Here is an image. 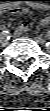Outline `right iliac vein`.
Instances as JSON below:
<instances>
[{
  "instance_id": "1",
  "label": "right iliac vein",
  "mask_w": 50,
  "mask_h": 111,
  "mask_svg": "<svg viewBox=\"0 0 50 111\" xmlns=\"http://www.w3.org/2000/svg\"><path fill=\"white\" fill-rule=\"evenodd\" d=\"M0 43L2 46L7 44V39H6L5 35H3V34H1Z\"/></svg>"
}]
</instances>
